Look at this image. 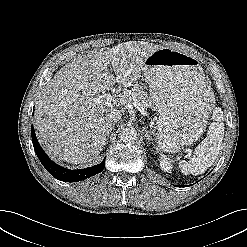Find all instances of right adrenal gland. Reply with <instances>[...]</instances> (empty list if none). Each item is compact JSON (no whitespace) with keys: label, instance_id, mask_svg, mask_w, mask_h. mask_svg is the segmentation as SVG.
Wrapping results in <instances>:
<instances>
[{"label":"right adrenal gland","instance_id":"2a0ac1e0","mask_svg":"<svg viewBox=\"0 0 247 247\" xmlns=\"http://www.w3.org/2000/svg\"><path fill=\"white\" fill-rule=\"evenodd\" d=\"M111 131H112V129L107 130V137H109V134L111 133ZM107 140H108V138H107Z\"/></svg>","mask_w":247,"mask_h":247}]
</instances>
